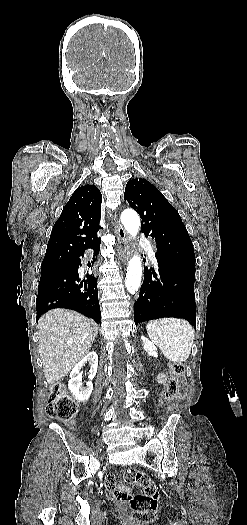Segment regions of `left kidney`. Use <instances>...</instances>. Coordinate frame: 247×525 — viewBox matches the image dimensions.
Returning a JSON list of instances; mask_svg holds the SVG:
<instances>
[{"instance_id":"5707ae66","label":"left kidney","mask_w":247,"mask_h":525,"mask_svg":"<svg viewBox=\"0 0 247 525\" xmlns=\"http://www.w3.org/2000/svg\"><path fill=\"white\" fill-rule=\"evenodd\" d=\"M143 341V349L148 353L149 357H158L157 355V349L154 345V343H151V341H148L146 337H141Z\"/></svg>"}]
</instances>
